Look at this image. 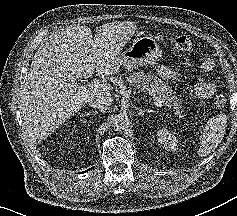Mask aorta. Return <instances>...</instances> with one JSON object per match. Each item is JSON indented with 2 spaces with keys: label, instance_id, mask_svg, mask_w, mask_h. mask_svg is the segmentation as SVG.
I'll list each match as a JSON object with an SVG mask.
<instances>
[{
  "label": "aorta",
  "instance_id": "1",
  "mask_svg": "<svg viewBox=\"0 0 237 216\" xmlns=\"http://www.w3.org/2000/svg\"><path fill=\"white\" fill-rule=\"evenodd\" d=\"M128 124V117L124 116L123 114H117L112 119V126L116 131L125 130Z\"/></svg>",
  "mask_w": 237,
  "mask_h": 216
}]
</instances>
